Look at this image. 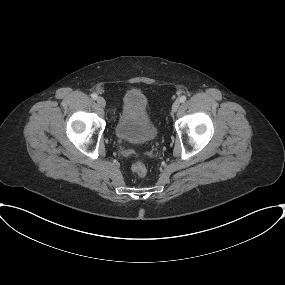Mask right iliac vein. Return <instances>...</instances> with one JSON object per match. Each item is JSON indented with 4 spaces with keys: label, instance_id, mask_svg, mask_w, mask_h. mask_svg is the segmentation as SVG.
I'll use <instances>...</instances> for the list:
<instances>
[{
    "label": "right iliac vein",
    "instance_id": "1",
    "mask_svg": "<svg viewBox=\"0 0 285 285\" xmlns=\"http://www.w3.org/2000/svg\"><path fill=\"white\" fill-rule=\"evenodd\" d=\"M97 104L99 107L104 108L106 106V101L104 98L99 97L97 98Z\"/></svg>",
    "mask_w": 285,
    "mask_h": 285
}]
</instances>
